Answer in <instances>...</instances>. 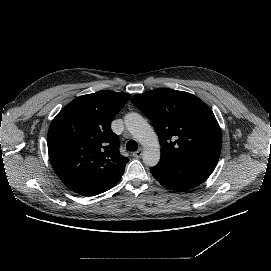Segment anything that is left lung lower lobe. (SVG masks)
<instances>
[{"instance_id": "1", "label": "left lung lower lobe", "mask_w": 271, "mask_h": 271, "mask_svg": "<svg viewBox=\"0 0 271 271\" xmlns=\"http://www.w3.org/2000/svg\"><path fill=\"white\" fill-rule=\"evenodd\" d=\"M216 164L214 161L161 153L160 162L150 172L165 188L182 192L203 183Z\"/></svg>"}]
</instances>
